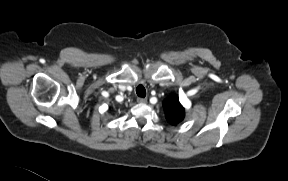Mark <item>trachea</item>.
<instances>
[{"mask_svg":"<svg viewBox=\"0 0 288 181\" xmlns=\"http://www.w3.org/2000/svg\"><path fill=\"white\" fill-rule=\"evenodd\" d=\"M136 93L139 97L144 98L146 96V90L143 85H138L136 88Z\"/></svg>","mask_w":288,"mask_h":181,"instance_id":"trachea-1","label":"trachea"}]
</instances>
